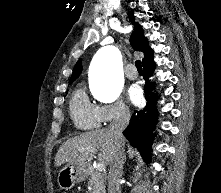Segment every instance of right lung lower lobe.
<instances>
[{
	"instance_id": "obj_1",
	"label": "right lung lower lobe",
	"mask_w": 221,
	"mask_h": 193,
	"mask_svg": "<svg viewBox=\"0 0 221 193\" xmlns=\"http://www.w3.org/2000/svg\"><path fill=\"white\" fill-rule=\"evenodd\" d=\"M154 69V62L148 65H143V77L145 83V97L147 105L144 109L134 111L131 116L130 123L123 131V135L129 140L131 145L141 152L143 158L150 160V146L153 137V130L157 119V94H152L151 90L154 86L148 81Z\"/></svg>"
}]
</instances>
